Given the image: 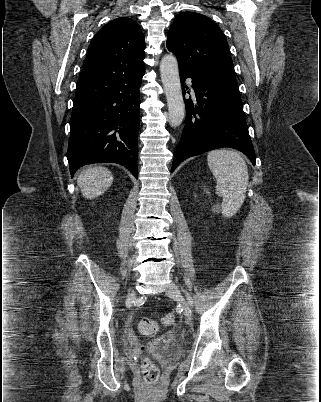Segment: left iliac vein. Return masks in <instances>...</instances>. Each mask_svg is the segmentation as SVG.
Instances as JSON below:
<instances>
[{"label":"left iliac vein","mask_w":321,"mask_h":402,"mask_svg":"<svg viewBox=\"0 0 321 402\" xmlns=\"http://www.w3.org/2000/svg\"><path fill=\"white\" fill-rule=\"evenodd\" d=\"M168 296L176 299L182 306L183 313L186 317L190 318L192 315V310L184 296L182 295L179 287L175 283H170L166 289Z\"/></svg>","instance_id":"obj_1"}]
</instances>
